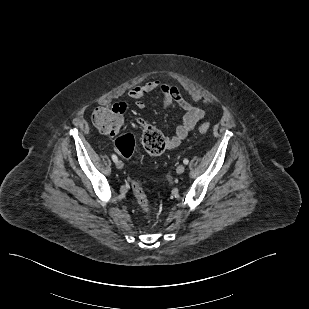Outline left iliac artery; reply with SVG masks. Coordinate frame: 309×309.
I'll return each instance as SVG.
<instances>
[{"mask_svg":"<svg viewBox=\"0 0 309 309\" xmlns=\"http://www.w3.org/2000/svg\"><path fill=\"white\" fill-rule=\"evenodd\" d=\"M183 163H184L185 165H187V164L189 163V160H188V159H184V160H183Z\"/></svg>","mask_w":309,"mask_h":309,"instance_id":"1","label":"left iliac artery"}]
</instances>
